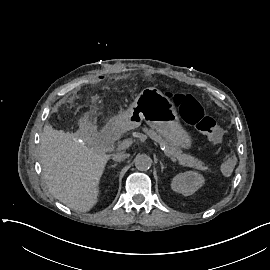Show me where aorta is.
Wrapping results in <instances>:
<instances>
[{
	"instance_id": "1",
	"label": "aorta",
	"mask_w": 270,
	"mask_h": 270,
	"mask_svg": "<svg viewBox=\"0 0 270 270\" xmlns=\"http://www.w3.org/2000/svg\"><path fill=\"white\" fill-rule=\"evenodd\" d=\"M135 167L140 171H147L152 165V159L145 154L137 155L135 157Z\"/></svg>"
}]
</instances>
